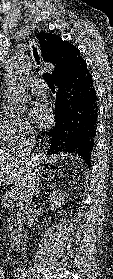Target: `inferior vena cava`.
<instances>
[{"label":"inferior vena cava","mask_w":113,"mask_h":279,"mask_svg":"<svg viewBox=\"0 0 113 279\" xmlns=\"http://www.w3.org/2000/svg\"><path fill=\"white\" fill-rule=\"evenodd\" d=\"M36 144L34 131L31 128H26L25 132L21 136L17 146L15 147L21 154L29 156L32 153V149ZM37 185V177L34 171H29L26 182V194H25V214L27 215L28 226L32 224V213L34 210L33 196L35 192V186Z\"/></svg>","instance_id":"inferior-vena-cava-1"}]
</instances>
